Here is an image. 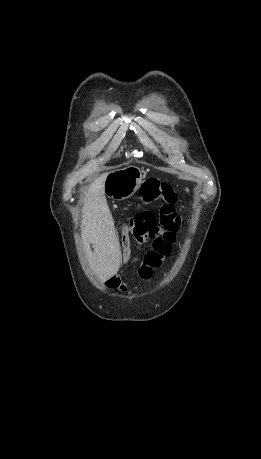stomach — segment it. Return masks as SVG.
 <instances>
[{"label":"stomach","mask_w":261,"mask_h":459,"mask_svg":"<svg viewBox=\"0 0 261 459\" xmlns=\"http://www.w3.org/2000/svg\"><path fill=\"white\" fill-rule=\"evenodd\" d=\"M143 174L136 167H126L107 174L104 193L114 200L131 197L141 186Z\"/></svg>","instance_id":"0dacf381"}]
</instances>
